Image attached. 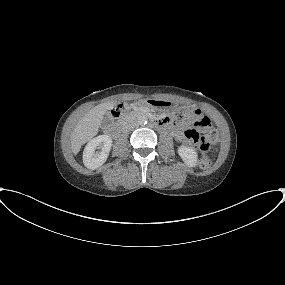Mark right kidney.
I'll return each mask as SVG.
<instances>
[{"instance_id": "obj_1", "label": "right kidney", "mask_w": 285, "mask_h": 285, "mask_svg": "<svg viewBox=\"0 0 285 285\" xmlns=\"http://www.w3.org/2000/svg\"><path fill=\"white\" fill-rule=\"evenodd\" d=\"M111 147L112 139L108 135H99L91 139L83 152L84 165L91 170L97 169L107 160Z\"/></svg>"}]
</instances>
